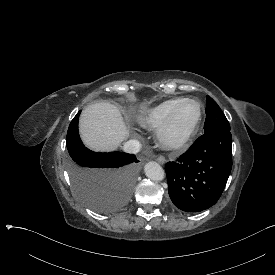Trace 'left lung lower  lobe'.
Instances as JSON below:
<instances>
[{"instance_id": "1", "label": "left lung lower lobe", "mask_w": 275, "mask_h": 275, "mask_svg": "<svg viewBox=\"0 0 275 275\" xmlns=\"http://www.w3.org/2000/svg\"><path fill=\"white\" fill-rule=\"evenodd\" d=\"M232 168L230 129H219L200 136L165 171L173 204L185 212H199L220 198Z\"/></svg>"}]
</instances>
